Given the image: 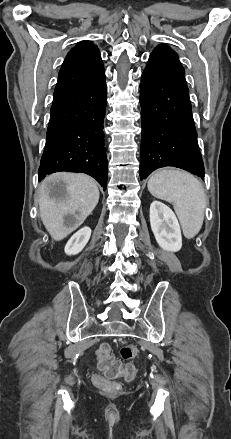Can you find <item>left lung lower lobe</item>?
I'll list each match as a JSON object with an SVG mask.
<instances>
[{"label": "left lung lower lobe", "instance_id": "1", "mask_svg": "<svg viewBox=\"0 0 231 439\" xmlns=\"http://www.w3.org/2000/svg\"><path fill=\"white\" fill-rule=\"evenodd\" d=\"M140 177L173 166L204 177L185 71L177 54L158 46L142 74Z\"/></svg>", "mask_w": 231, "mask_h": 439}]
</instances>
